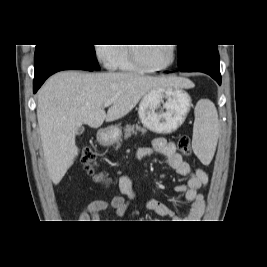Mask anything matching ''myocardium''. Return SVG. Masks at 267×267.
I'll list each match as a JSON object with an SVG mask.
<instances>
[{"mask_svg": "<svg viewBox=\"0 0 267 267\" xmlns=\"http://www.w3.org/2000/svg\"><path fill=\"white\" fill-rule=\"evenodd\" d=\"M169 45L171 47V59L168 63H166L163 66L151 67V66H147L146 64H144L139 58V55L136 50V46H134V44H130V46H128V53H129L130 61L139 70H142L145 72H159V71L166 70L173 65L176 59V46L174 44H169Z\"/></svg>", "mask_w": 267, "mask_h": 267, "instance_id": "1", "label": "myocardium"}]
</instances>
